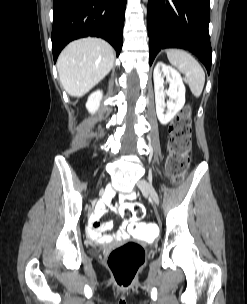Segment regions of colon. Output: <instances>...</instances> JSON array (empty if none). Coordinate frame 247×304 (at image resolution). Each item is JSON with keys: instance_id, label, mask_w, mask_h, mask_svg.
Listing matches in <instances>:
<instances>
[{"instance_id": "obj_1", "label": "colon", "mask_w": 247, "mask_h": 304, "mask_svg": "<svg viewBox=\"0 0 247 304\" xmlns=\"http://www.w3.org/2000/svg\"><path fill=\"white\" fill-rule=\"evenodd\" d=\"M191 116L190 109L182 110L170 126L168 143L169 155L166 161V171L169 177L179 183L189 166V151L191 148ZM144 202L125 203L121 205L120 214L133 222L129 233L134 238H160L158 224H139L146 216ZM145 246H152V239L144 240ZM145 248L138 241H128L114 248L107 259L115 283L121 288H128L134 281L137 272L145 261Z\"/></svg>"}]
</instances>
